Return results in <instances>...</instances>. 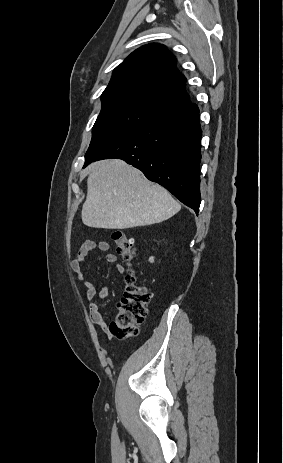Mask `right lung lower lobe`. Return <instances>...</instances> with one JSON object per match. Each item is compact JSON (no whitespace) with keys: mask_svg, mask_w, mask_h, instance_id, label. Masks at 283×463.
Returning <instances> with one entry per match:
<instances>
[{"mask_svg":"<svg viewBox=\"0 0 283 463\" xmlns=\"http://www.w3.org/2000/svg\"><path fill=\"white\" fill-rule=\"evenodd\" d=\"M201 135L199 109L189 101L159 113L85 157L84 167L100 159H123L198 214Z\"/></svg>","mask_w":283,"mask_h":463,"instance_id":"1","label":"right lung lower lobe"}]
</instances>
